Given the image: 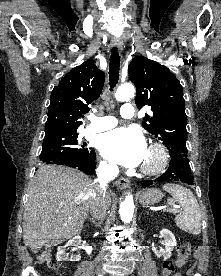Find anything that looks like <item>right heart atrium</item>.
<instances>
[{"label":"right heart atrium","instance_id":"right-heart-atrium-1","mask_svg":"<svg viewBox=\"0 0 221 276\" xmlns=\"http://www.w3.org/2000/svg\"><path fill=\"white\" fill-rule=\"evenodd\" d=\"M100 166L105 172L112 173L115 171V167L109 163L101 162Z\"/></svg>","mask_w":221,"mask_h":276}]
</instances>
